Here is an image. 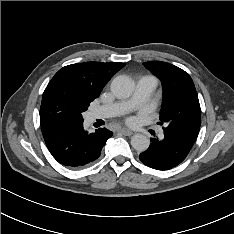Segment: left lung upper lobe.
I'll return each mask as SVG.
<instances>
[{
	"label": "left lung upper lobe",
	"mask_w": 234,
	"mask_h": 234,
	"mask_svg": "<svg viewBox=\"0 0 234 234\" xmlns=\"http://www.w3.org/2000/svg\"><path fill=\"white\" fill-rule=\"evenodd\" d=\"M143 65L162 82L164 95L159 124L165 123V133L192 147L201 126V109L191 77L170 63L150 61Z\"/></svg>",
	"instance_id": "5c2ea615"
}]
</instances>
